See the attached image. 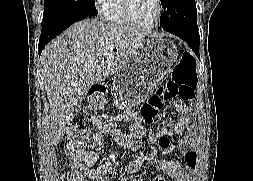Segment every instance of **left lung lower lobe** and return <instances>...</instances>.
<instances>
[{
  "label": "left lung lower lobe",
  "mask_w": 253,
  "mask_h": 181,
  "mask_svg": "<svg viewBox=\"0 0 253 181\" xmlns=\"http://www.w3.org/2000/svg\"><path fill=\"white\" fill-rule=\"evenodd\" d=\"M165 31L170 32L180 38H182L195 52V54L199 57V41L200 36L197 31H190L178 28H164Z\"/></svg>",
  "instance_id": "1"
}]
</instances>
